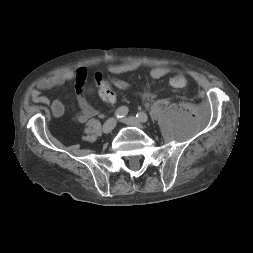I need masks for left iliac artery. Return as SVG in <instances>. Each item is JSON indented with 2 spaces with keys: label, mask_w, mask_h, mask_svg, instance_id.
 Wrapping results in <instances>:
<instances>
[{
  "label": "left iliac artery",
  "mask_w": 253,
  "mask_h": 253,
  "mask_svg": "<svg viewBox=\"0 0 253 253\" xmlns=\"http://www.w3.org/2000/svg\"><path fill=\"white\" fill-rule=\"evenodd\" d=\"M136 117L141 121V122H147V115L144 112H138L136 114Z\"/></svg>",
  "instance_id": "obj_1"
}]
</instances>
